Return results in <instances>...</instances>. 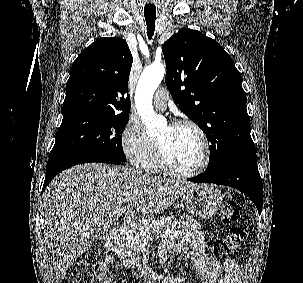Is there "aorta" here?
<instances>
[{
  "label": "aorta",
  "mask_w": 303,
  "mask_h": 283,
  "mask_svg": "<svg viewBox=\"0 0 303 283\" xmlns=\"http://www.w3.org/2000/svg\"><path fill=\"white\" fill-rule=\"evenodd\" d=\"M165 74V66L161 63L146 67L137 84L135 103L139 116L146 125V133L154 135L165 124V119L158 116L153 109V95Z\"/></svg>",
  "instance_id": "aorta-1"
}]
</instances>
